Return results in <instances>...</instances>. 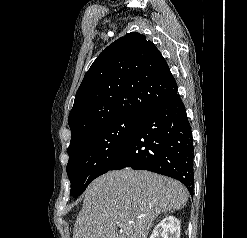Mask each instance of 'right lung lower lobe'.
I'll return each instance as SVG.
<instances>
[{
	"instance_id": "98d812e1",
	"label": "right lung lower lobe",
	"mask_w": 247,
	"mask_h": 238,
	"mask_svg": "<svg viewBox=\"0 0 247 238\" xmlns=\"http://www.w3.org/2000/svg\"><path fill=\"white\" fill-rule=\"evenodd\" d=\"M193 158L191 127L176 91L141 116L109 170H149L179 180L193 194Z\"/></svg>"
}]
</instances>
